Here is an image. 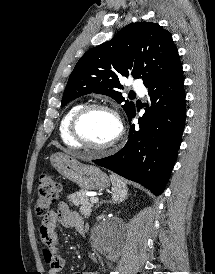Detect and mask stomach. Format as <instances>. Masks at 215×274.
I'll use <instances>...</instances> for the list:
<instances>
[{"instance_id":"0dacf381","label":"stomach","mask_w":215,"mask_h":274,"mask_svg":"<svg viewBox=\"0 0 215 274\" xmlns=\"http://www.w3.org/2000/svg\"><path fill=\"white\" fill-rule=\"evenodd\" d=\"M51 165L65 178L76 183L84 191L103 190L110 186V179L99 168L86 165L64 153H55L50 158ZM127 194L123 189V195L118 199L122 201Z\"/></svg>"}]
</instances>
